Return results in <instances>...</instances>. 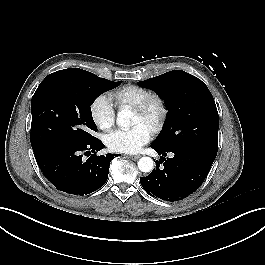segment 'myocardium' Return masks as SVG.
Masks as SVG:
<instances>
[{"label": "myocardium", "mask_w": 265, "mask_h": 265, "mask_svg": "<svg viewBox=\"0 0 265 265\" xmlns=\"http://www.w3.org/2000/svg\"><path fill=\"white\" fill-rule=\"evenodd\" d=\"M148 125L152 132H158L167 117L166 100L158 93H151L139 105L133 108Z\"/></svg>", "instance_id": "1"}]
</instances>
